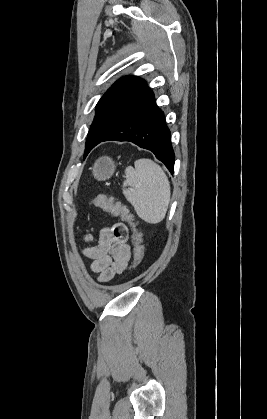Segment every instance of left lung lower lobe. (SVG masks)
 <instances>
[{"label":"left lung lower lobe","mask_w":267,"mask_h":419,"mask_svg":"<svg viewBox=\"0 0 267 419\" xmlns=\"http://www.w3.org/2000/svg\"><path fill=\"white\" fill-rule=\"evenodd\" d=\"M113 127L102 138L88 147L85 156L103 141H130L152 151L173 173L175 155L171 145L170 131L163 112L157 107L150 88L143 89L133 103L122 111H115Z\"/></svg>","instance_id":"1"}]
</instances>
